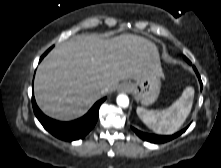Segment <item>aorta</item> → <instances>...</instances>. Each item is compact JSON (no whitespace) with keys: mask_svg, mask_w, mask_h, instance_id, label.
Returning <instances> with one entry per match:
<instances>
[{"mask_svg":"<svg viewBox=\"0 0 221 168\" xmlns=\"http://www.w3.org/2000/svg\"><path fill=\"white\" fill-rule=\"evenodd\" d=\"M116 102L118 106L122 108H127L129 106V98L125 94H120L117 96Z\"/></svg>","mask_w":221,"mask_h":168,"instance_id":"762f6f07","label":"aorta"}]
</instances>
